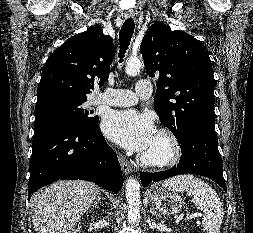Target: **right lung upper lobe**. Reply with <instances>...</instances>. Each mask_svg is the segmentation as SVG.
I'll return each instance as SVG.
<instances>
[{
    "mask_svg": "<svg viewBox=\"0 0 253 233\" xmlns=\"http://www.w3.org/2000/svg\"><path fill=\"white\" fill-rule=\"evenodd\" d=\"M113 41L97 25L65 41L48 57L37 89V103L52 97L86 99L94 80H108Z\"/></svg>",
    "mask_w": 253,
    "mask_h": 233,
    "instance_id": "obj_1",
    "label": "right lung upper lobe"
}]
</instances>
